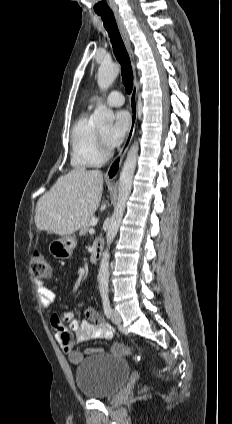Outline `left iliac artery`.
Segmentation results:
<instances>
[{
	"instance_id": "left-iliac-artery-1",
	"label": "left iliac artery",
	"mask_w": 232,
	"mask_h": 424,
	"mask_svg": "<svg viewBox=\"0 0 232 424\" xmlns=\"http://www.w3.org/2000/svg\"><path fill=\"white\" fill-rule=\"evenodd\" d=\"M102 302H103L104 313H105V315L108 318H110V315H111V306H110V301H109L108 293H103L102 294Z\"/></svg>"
}]
</instances>
